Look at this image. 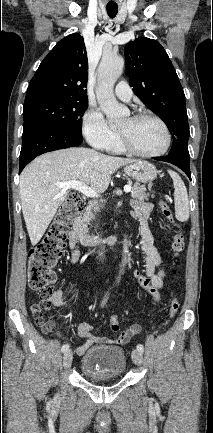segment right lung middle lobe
<instances>
[{
  "mask_svg": "<svg viewBox=\"0 0 213 433\" xmlns=\"http://www.w3.org/2000/svg\"><path fill=\"white\" fill-rule=\"evenodd\" d=\"M87 106L88 99L56 95L30 96L24 101L23 119L39 118L82 137V116Z\"/></svg>",
  "mask_w": 213,
  "mask_h": 433,
  "instance_id": "1",
  "label": "right lung middle lobe"
}]
</instances>
